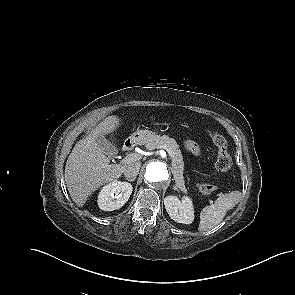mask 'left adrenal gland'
<instances>
[{"mask_svg":"<svg viewBox=\"0 0 295 295\" xmlns=\"http://www.w3.org/2000/svg\"><path fill=\"white\" fill-rule=\"evenodd\" d=\"M173 189L178 191V188L176 185L173 186Z\"/></svg>","mask_w":295,"mask_h":295,"instance_id":"obj_1","label":"left adrenal gland"}]
</instances>
